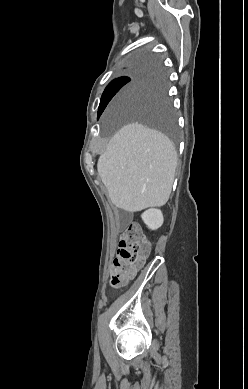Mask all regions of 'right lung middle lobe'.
<instances>
[{
  "mask_svg": "<svg viewBox=\"0 0 248 389\" xmlns=\"http://www.w3.org/2000/svg\"><path fill=\"white\" fill-rule=\"evenodd\" d=\"M129 82L131 86H146L148 95L142 101L129 103L125 108L128 115L133 120L160 130L171 141L177 142L176 122L166 96L165 77L153 59L134 64L128 76L117 78L106 87L98 108V119L113 96Z\"/></svg>",
  "mask_w": 248,
  "mask_h": 389,
  "instance_id": "1",
  "label": "right lung middle lobe"
}]
</instances>
